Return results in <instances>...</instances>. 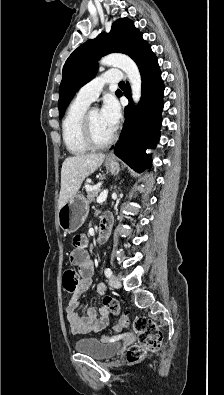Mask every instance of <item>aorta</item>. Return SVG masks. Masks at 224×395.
Masks as SVG:
<instances>
[{
  "label": "aorta",
  "instance_id": "obj_1",
  "mask_svg": "<svg viewBox=\"0 0 224 395\" xmlns=\"http://www.w3.org/2000/svg\"><path fill=\"white\" fill-rule=\"evenodd\" d=\"M99 64L101 66H113L121 69L127 76L130 86L132 99L134 103H138L142 93V79L136 63L127 55L114 53L103 57Z\"/></svg>",
  "mask_w": 224,
  "mask_h": 395
}]
</instances>
